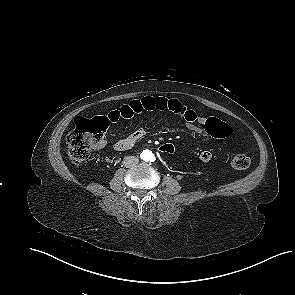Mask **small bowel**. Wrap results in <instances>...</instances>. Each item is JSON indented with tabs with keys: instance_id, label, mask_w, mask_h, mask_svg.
Listing matches in <instances>:
<instances>
[{
	"instance_id": "obj_1",
	"label": "small bowel",
	"mask_w": 295,
	"mask_h": 295,
	"mask_svg": "<svg viewBox=\"0 0 295 295\" xmlns=\"http://www.w3.org/2000/svg\"><path fill=\"white\" fill-rule=\"evenodd\" d=\"M150 111H168L177 115L178 117L186 121L188 130L195 135H203L208 133L206 130V123L210 119L204 116H200L193 109L188 108L182 102L166 98V97H152L146 96L138 100H133L128 104H124L118 109L111 110L106 116H104L107 122H117L120 119H130L134 115L141 114ZM145 136V130L139 128L129 134L128 136L118 140L114 144L116 151H126L132 148L139 140ZM105 142H101L99 147H104ZM212 159V153L209 150H203L199 154V160L201 162H209Z\"/></svg>"
}]
</instances>
